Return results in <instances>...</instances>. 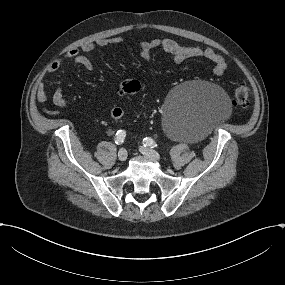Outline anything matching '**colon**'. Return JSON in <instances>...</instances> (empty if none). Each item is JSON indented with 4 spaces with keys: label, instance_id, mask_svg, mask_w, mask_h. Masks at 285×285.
Returning a JSON list of instances; mask_svg holds the SVG:
<instances>
[{
    "label": "colon",
    "instance_id": "colon-1",
    "mask_svg": "<svg viewBox=\"0 0 285 285\" xmlns=\"http://www.w3.org/2000/svg\"><path fill=\"white\" fill-rule=\"evenodd\" d=\"M141 90V83L136 79H127L122 82L118 88L121 94L134 95L139 93ZM251 96V90L246 84H241L236 87L233 96L232 104L236 107H246L249 104ZM124 115V110L121 106H116L111 111V116L115 121L122 119Z\"/></svg>",
    "mask_w": 285,
    "mask_h": 285
}]
</instances>
